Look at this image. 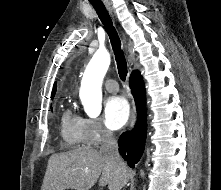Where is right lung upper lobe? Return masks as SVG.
Instances as JSON below:
<instances>
[{"mask_svg":"<svg viewBox=\"0 0 221 190\" xmlns=\"http://www.w3.org/2000/svg\"><path fill=\"white\" fill-rule=\"evenodd\" d=\"M136 74H139V72L138 71H133L131 75H136ZM55 92H56V83H54V86H53L52 95H51L52 99L55 95Z\"/></svg>","mask_w":221,"mask_h":190,"instance_id":"right-lung-upper-lobe-1","label":"right lung upper lobe"}]
</instances>
